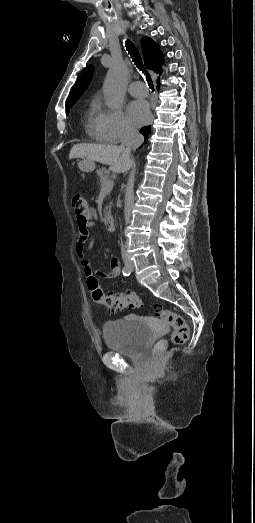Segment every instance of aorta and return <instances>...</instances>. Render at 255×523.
Instances as JSON below:
<instances>
[{
	"label": "aorta",
	"mask_w": 255,
	"mask_h": 523,
	"mask_svg": "<svg viewBox=\"0 0 255 523\" xmlns=\"http://www.w3.org/2000/svg\"><path fill=\"white\" fill-rule=\"evenodd\" d=\"M127 73V66L122 61L115 62L107 73L103 91L106 104L111 109L120 107L123 102Z\"/></svg>",
	"instance_id": "aorta-1"
}]
</instances>
